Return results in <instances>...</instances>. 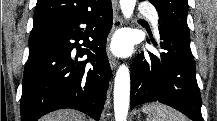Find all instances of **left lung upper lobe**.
<instances>
[{
  "mask_svg": "<svg viewBox=\"0 0 217 121\" xmlns=\"http://www.w3.org/2000/svg\"><path fill=\"white\" fill-rule=\"evenodd\" d=\"M159 15V23L173 27L179 33L190 38L187 25L188 3L187 0H148Z\"/></svg>",
  "mask_w": 217,
  "mask_h": 121,
  "instance_id": "left-lung-upper-lobe-1",
  "label": "left lung upper lobe"
}]
</instances>
